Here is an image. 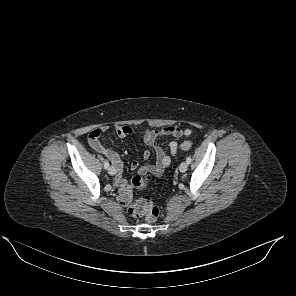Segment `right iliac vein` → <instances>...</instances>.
Wrapping results in <instances>:
<instances>
[{"instance_id": "right-iliac-vein-1", "label": "right iliac vein", "mask_w": 296, "mask_h": 296, "mask_svg": "<svg viewBox=\"0 0 296 296\" xmlns=\"http://www.w3.org/2000/svg\"><path fill=\"white\" fill-rule=\"evenodd\" d=\"M108 173H109L110 175H115L116 170H115L114 166H110V167L108 168Z\"/></svg>"}]
</instances>
